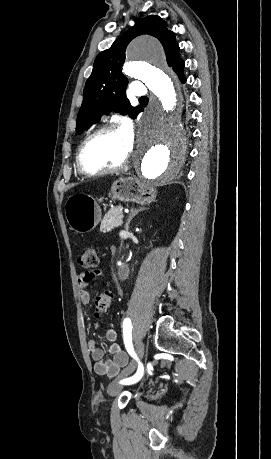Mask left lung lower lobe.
I'll return each mask as SVG.
<instances>
[{
    "label": "left lung lower lobe",
    "instance_id": "1",
    "mask_svg": "<svg viewBox=\"0 0 271 459\" xmlns=\"http://www.w3.org/2000/svg\"><path fill=\"white\" fill-rule=\"evenodd\" d=\"M184 61L180 60L174 67L173 70L177 73L182 83H185L186 78L183 76Z\"/></svg>",
    "mask_w": 271,
    "mask_h": 459
}]
</instances>
